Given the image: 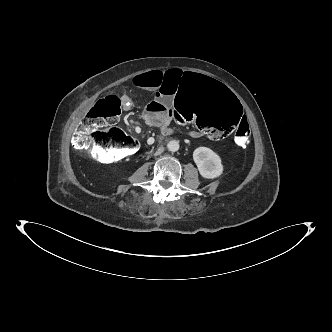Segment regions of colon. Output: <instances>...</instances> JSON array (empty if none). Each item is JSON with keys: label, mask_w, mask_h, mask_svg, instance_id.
I'll use <instances>...</instances> for the list:
<instances>
[{"label": "colon", "mask_w": 332, "mask_h": 332, "mask_svg": "<svg viewBox=\"0 0 332 332\" xmlns=\"http://www.w3.org/2000/svg\"><path fill=\"white\" fill-rule=\"evenodd\" d=\"M124 100L108 95L89 110L73 138L74 147L87 150L97 161L114 162L137 152L138 141L121 129L103 130L113 124L124 107ZM175 119L194 128L213 141H224L234 135L239 147L250 142L249 124L242 121L238 100L215 79L203 73H191L176 86L173 99Z\"/></svg>", "instance_id": "colon-1"}]
</instances>
